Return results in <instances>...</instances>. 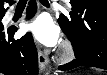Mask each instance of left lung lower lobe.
I'll return each instance as SVG.
<instances>
[{
    "label": "left lung lower lobe",
    "instance_id": "left-lung-lower-lobe-1",
    "mask_svg": "<svg viewBox=\"0 0 107 75\" xmlns=\"http://www.w3.org/2000/svg\"><path fill=\"white\" fill-rule=\"evenodd\" d=\"M88 28L89 31L84 34V37L92 46L90 55L76 56V59L72 62L59 66V70L66 71L79 66L97 67L107 70V21L100 19L98 22L88 25ZM69 40L71 41L70 38Z\"/></svg>",
    "mask_w": 107,
    "mask_h": 75
}]
</instances>
